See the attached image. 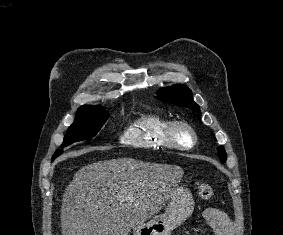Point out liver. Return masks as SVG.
<instances>
[{
  "label": "liver",
  "instance_id": "liver-1",
  "mask_svg": "<svg viewBox=\"0 0 283 235\" xmlns=\"http://www.w3.org/2000/svg\"><path fill=\"white\" fill-rule=\"evenodd\" d=\"M183 174L177 165L132 158L82 167L63 195L62 235H128L161 210Z\"/></svg>",
  "mask_w": 283,
  "mask_h": 235
}]
</instances>
